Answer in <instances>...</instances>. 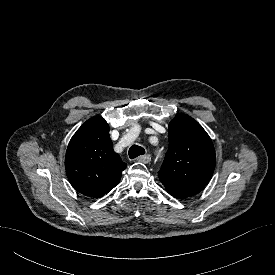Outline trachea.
I'll use <instances>...</instances> for the list:
<instances>
[{
	"label": "trachea",
	"mask_w": 275,
	"mask_h": 275,
	"mask_svg": "<svg viewBox=\"0 0 275 275\" xmlns=\"http://www.w3.org/2000/svg\"><path fill=\"white\" fill-rule=\"evenodd\" d=\"M128 154H129L130 159H134L140 155L145 154V150L141 146L132 145L129 149Z\"/></svg>",
	"instance_id": "trachea-1"
}]
</instances>
